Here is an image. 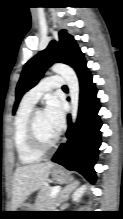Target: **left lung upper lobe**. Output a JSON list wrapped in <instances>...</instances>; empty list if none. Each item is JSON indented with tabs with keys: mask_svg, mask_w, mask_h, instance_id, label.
<instances>
[{
	"mask_svg": "<svg viewBox=\"0 0 123 219\" xmlns=\"http://www.w3.org/2000/svg\"><path fill=\"white\" fill-rule=\"evenodd\" d=\"M83 61V53L74 38L66 30L59 33V42L51 41L48 47L35 55L24 66L16 87V99L13 107L15 113L23 94L34 87L44 72L55 62H63L76 69Z\"/></svg>",
	"mask_w": 123,
	"mask_h": 219,
	"instance_id": "left-lung-upper-lobe-1",
	"label": "left lung upper lobe"
}]
</instances>
